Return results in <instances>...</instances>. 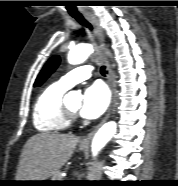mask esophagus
Returning a JSON list of instances; mask_svg holds the SVG:
<instances>
[{"label": "esophagus", "instance_id": "34e87169", "mask_svg": "<svg viewBox=\"0 0 178 186\" xmlns=\"http://www.w3.org/2000/svg\"><path fill=\"white\" fill-rule=\"evenodd\" d=\"M86 18L92 24L94 31H95L96 38L98 40V55H99L100 61L106 67V76H107L108 83H109V86H110V89L112 92V101H111V104L108 108V111H107L105 117L102 119V121L97 126H95L92 129V131L90 133H88L85 137L82 138L81 144H88L90 142L91 138L93 137V135L96 133V131L107 121V119L109 118V116L111 114L113 101H114V87H113V82H112L111 69H110L108 60L103 52L104 46H105V43H104L105 36H104L103 29L95 16L87 15Z\"/></svg>", "mask_w": 178, "mask_h": 186}]
</instances>
